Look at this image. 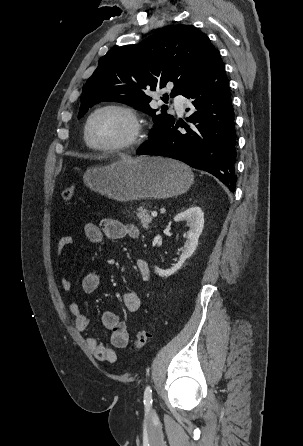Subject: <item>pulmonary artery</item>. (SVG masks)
I'll use <instances>...</instances> for the list:
<instances>
[{
  "label": "pulmonary artery",
  "mask_w": 303,
  "mask_h": 446,
  "mask_svg": "<svg viewBox=\"0 0 303 446\" xmlns=\"http://www.w3.org/2000/svg\"><path fill=\"white\" fill-rule=\"evenodd\" d=\"M185 103H186V99L181 95H177L174 98L175 109L177 110V112L179 114H183L184 108H185Z\"/></svg>",
  "instance_id": "obj_1"
}]
</instances>
